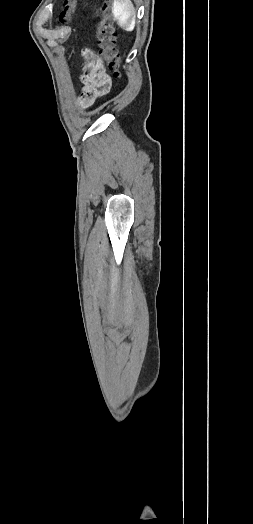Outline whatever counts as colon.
<instances>
[{
	"instance_id": "colon-1",
	"label": "colon",
	"mask_w": 253,
	"mask_h": 524,
	"mask_svg": "<svg viewBox=\"0 0 253 524\" xmlns=\"http://www.w3.org/2000/svg\"><path fill=\"white\" fill-rule=\"evenodd\" d=\"M78 6V0H64V6L59 16V21L65 24L70 21ZM99 53L108 69L115 78L121 76V58L116 45V28L111 15L103 13L98 24Z\"/></svg>"
}]
</instances>
